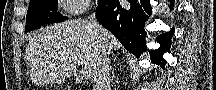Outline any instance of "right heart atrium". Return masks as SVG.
I'll return each instance as SVG.
<instances>
[{"label":"right heart atrium","instance_id":"obj_1","mask_svg":"<svg viewBox=\"0 0 216 90\" xmlns=\"http://www.w3.org/2000/svg\"><path fill=\"white\" fill-rule=\"evenodd\" d=\"M66 6H69V12H85L88 10V6H93L92 0H72V2H65Z\"/></svg>","mask_w":216,"mask_h":90}]
</instances>
